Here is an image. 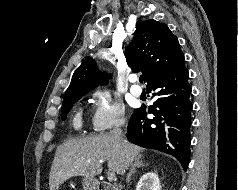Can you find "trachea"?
<instances>
[{
    "instance_id": "3493384b",
    "label": "trachea",
    "mask_w": 238,
    "mask_h": 190,
    "mask_svg": "<svg viewBox=\"0 0 238 190\" xmlns=\"http://www.w3.org/2000/svg\"><path fill=\"white\" fill-rule=\"evenodd\" d=\"M139 81H140V82H143V81H144V77H143V76H140V77H139Z\"/></svg>"
}]
</instances>
